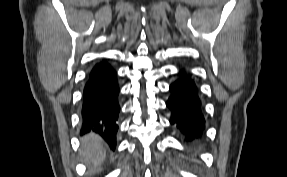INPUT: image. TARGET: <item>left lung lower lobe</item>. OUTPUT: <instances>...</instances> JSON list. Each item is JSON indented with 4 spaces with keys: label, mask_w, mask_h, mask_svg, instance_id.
Instances as JSON below:
<instances>
[{
    "label": "left lung lower lobe",
    "mask_w": 287,
    "mask_h": 177,
    "mask_svg": "<svg viewBox=\"0 0 287 177\" xmlns=\"http://www.w3.org/2000/svg\"><path fill=\"white\" fill-rule=\"evenodd\" d=\"M179 74V79L170 85L171 96L166 105L172 112L170 123L177 126L186 140H193L201 136L205 127L201 102L194 81L184 70Z\"/></svg>",
    "instance_id": "left-lung-lower-lobe-1"
}]
</instances>
